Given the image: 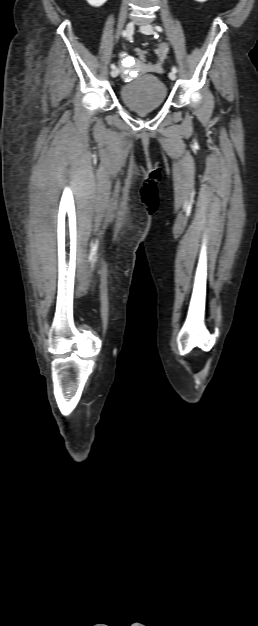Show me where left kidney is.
<instances>
[{
  "instance_id": "obj_1",
  "label": "left kidney",
  "mask_w": 258,
  "mask_h": 626,
  "mask_svg": "<svg viewBox=\"0 0 258 626\" xmlns=\"http://www.w3.org/2000/svg\"><path fill=\"white\" fill-rule=\"evenodd\" d=\"M196 2H206L207 0H194Z\"/></svg>"
}]
</instances>
